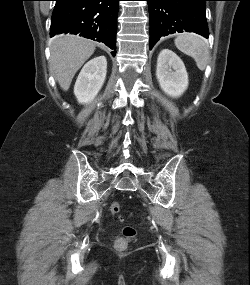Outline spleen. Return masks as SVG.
I'll return each instance as SVG.
<instances>
[{
    "label": "spleen",
    "instance_id": "spleen-1",
    "mask_svg": "<svg viewBox=\"0 0 250 285\" xmlns=\"http://www.w3.org/2000/svg\"><path fill=\"white\" fill-rule=\"evenodd\" d=\"M176 47L186 55L191 56L197 67L203 71L209 59V48L206 41L194 33H183L175 39Z\"/></svg>",
    "mask_w": 250,
    "mask_h": 285
}]
</instances>
